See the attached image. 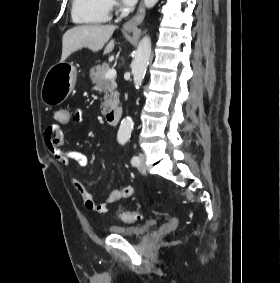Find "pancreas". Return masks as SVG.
I'll list each match as a JSON object with an SVG mask.
<instances>
[{
    "instance_id": "1",
    "label": "pancreas",
    "mask_w": 280,
    "mask_h": 283,
    "mask_svg": "<svg viewBox=\"0 0 280 283\" xmlns=\"http://www.w3.org/2000/svg\"><path fill=\"white\" fill-rule=\"evenodd\" d=\"M108 64H98L90 69V77L95 85L94 90L104 93V102L101 105L102 113L119 104V92L115 79H105V73L108 70Z\"/></svg>"
}]
</instances>
